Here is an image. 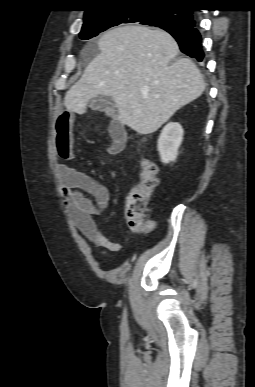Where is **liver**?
I'll list each match as a JSON object with an SVG mask.
<instances>
[{
    "label": "liver",
    "mask_w": 255,
    "mask_h": 387,
    "mask_svg": "<svg viewBox=\"0 0 255 387\" xmlns=\"http://www.w3.org/2000/svg\"><path fill=\"white\" fill-rule=\"evenodd\" d=\"M98 47L100 53L65 94L68 111L83 114L90 99L112 97L120 123L147 135L205 89L197 66L176 58L177 42L161 29L117 27L102 35Z\"/></svg>",
    "instance_id": "6515ba94"
}]
</instances>
